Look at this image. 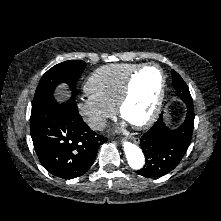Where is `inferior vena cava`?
Segmentation results:
<instances>
[{"label":"inferior vena cava","instance_id":"1","mask_svg":"<svg viewBox=\"0 0 221 221\" xmlns=\"http://www.w3.org/2000/svg\"><path fill=\"white\" fill-rule=\"evenodd\" d=\"M87 124L92 130L103 131L106 127V121L100 117H89Z\"/></svg>","mask_w":221,"mask_h":221}]
</instances>
